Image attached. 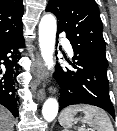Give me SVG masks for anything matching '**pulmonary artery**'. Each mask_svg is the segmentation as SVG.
Masks as SVG:
<instances>
[{
	"mask_svg": "<svg viewBox=\"0 0 117 131\" xmlns=\"http://www.w3.org/2000/svg\"><path fill=\"white\" fill-rule=\"evenodd\" d=\"M62 42L65 46V49L68 51V53L72 54L73 50H72L70 43L66 39H62Z\"/></svg>",
	"mask_w": 117,
	"mask_h": 131,
	"instance_id": "1",
	"label": "pulmonary artery"
}]
</instances>
